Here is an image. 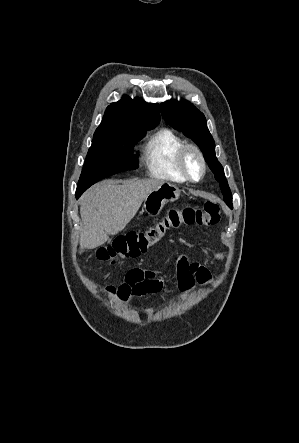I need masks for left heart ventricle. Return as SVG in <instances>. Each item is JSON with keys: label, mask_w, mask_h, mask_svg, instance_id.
I'll return each instance as SVG.
<instances>
[{"label": "left heart ventricle", "mask_w": 299, "mask_h": 443, "mask_svg": "<svg viewBox=\"0 0 299 443\" xmlns=\"http://www.w3.org/2000/svg\"><path fill=\"white\" fill-rule=\"evenodd\" d=\"M187 164H188L191 174L194 177H197L200 173V164H199L197 158L191 154L187 159Z\"/></svg>", "instance_id": "left-heart-ventricle-1"}]
</instances>
